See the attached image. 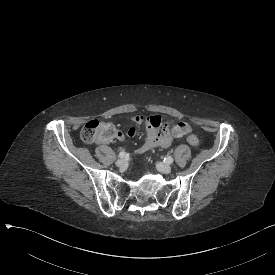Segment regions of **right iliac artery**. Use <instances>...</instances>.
<instances>
[{"instance_id":"right-iliac-artery-1","label":"right iliac artery","mask_w":275,"mask_h":275,"mask_svg":"<svg viewBox=\"0 0 275 275\" xmlns=\"http://www.w3.org/2000/svg\"><path fill=\"white\" fill-rule=\"evenodd\" d=\"M119 157H120V158H126V157H127V153H126L125 151H121V152L119 153Z\"/></svg>"}]
</instances>
